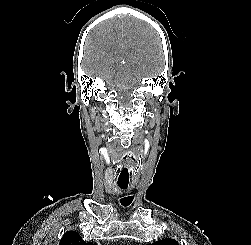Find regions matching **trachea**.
<instances>
[{
	"mask_svg": "<svg viewBox=\"0 0 251 245\" xmlns=\"http://www.w3.org/2000/svg\"><path fill=\"white\" fill-rule=\"evenodd\" d=\"M118 186L121 188V189H126L128 187V183H118Z\"/></svg>",
	"mask_w": 251,
	"mask_h": 245,
	"instance_id": "1",
	"label": "trachea"
}]
</instances>
